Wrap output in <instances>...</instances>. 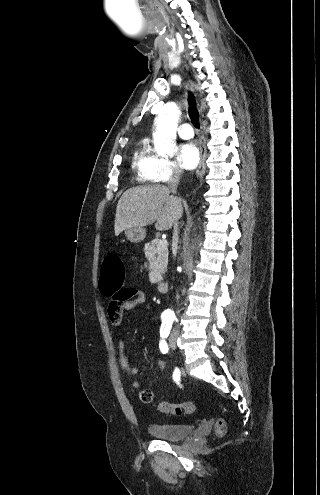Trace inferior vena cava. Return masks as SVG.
I'll use <instances>...</instances> for the list:
<instances>
[{
  "label": "inferior vena cava",
  "mask_w": 320,
  "mask_h": 495,
  "mask_svg": "<svg viewBox=\"0 0 320 495\" xmlns=\"http://www.w3.org/2000/svg\"><path fill=\"white\" fill-rule=\"evenodd\" d=\"M181 173H182L181 170L175 169L173 171L172 177L169 180L168 187L173 194L176 193ZM178 239H179V227H178V221H176L174 224V229H173V245H177ZM178 297H179V295L177 294L176 298H178Z\"/></svg>",
  "instance_id": "1"
}]
</instances>
